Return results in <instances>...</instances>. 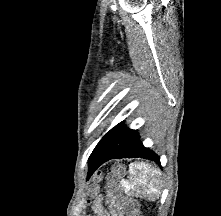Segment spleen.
I'll return each mask as SVG.
<instances>
[{
    "instance_id": "obj_1",
    "label": "spleen",
    "mask_w": 221,
    "mask_h": 216,
    "mask_svg": "<svg viewBox=\"0 0 221 216\" xmlns=\"http://www.w3.org/2000/svg\"><path fill=\"white\" fill-rule=\"evenodd\" d=\"M129 181L121 180L120 184L126 194L137 197H158L160 192V171L146 162H135L129 166Z\"/></svg>"
}]
</instances>
